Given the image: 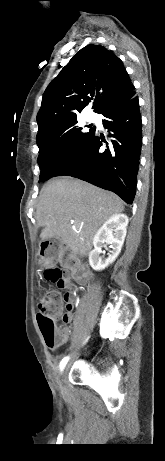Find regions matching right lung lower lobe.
<instances>
[{
  "label": "right lung lower lobe",
  "instance_id": "obj_1",
  "mask_svg": "<svg viewBox=\"0 0 165 461\" xmlns=\"http://www.w3.org/2000/svg\"><path fill=\"white\" fill-rule=\"evenodd\" d=\"M103 125L110 131L107 149L105 140L92 133L82 149L53 177L72 176L100 188L110 190L126 203L134 200L137 185L142 130L139 100L133 96L102 114Z\"/></svg>",
  "mask_w": 165,
  "mask_h": 461
}]
</instances>
